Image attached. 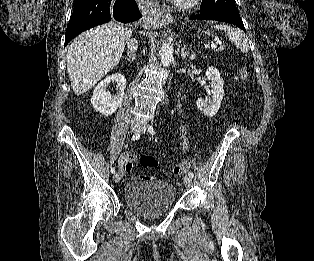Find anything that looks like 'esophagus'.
I'll use <instances>...</instances> for the list:
<instances>
[{"instance_id": "esophagus-1", "label": "esophagus", "mask_w": 314, "mask_h": 261, "mask_svg": "<svg viewBox=\"0 0 314 261\" xmlns=\"http://www.w3.org/2000/svg\"><path fill=\"white\" fill-rule=\"evenodd\" d=\"M153 13L156 14L157 16H161V15H163L164 13H165L166 15H168L167 10L158 11V10L155 9V10H153Z\"/></svg>"}]
</instances>
